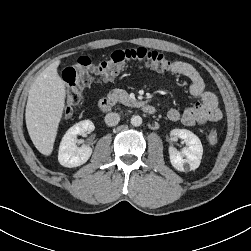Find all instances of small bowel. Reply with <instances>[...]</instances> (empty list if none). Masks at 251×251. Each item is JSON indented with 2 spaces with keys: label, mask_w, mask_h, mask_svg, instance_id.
I'll list each match as a JSON object with an SVG mask.
<instances>
[{
  "label": "small bowel",
  "mask_w": 251,
  "mask_h": 251,
  "mask_svg": "<svg viewBox=\"0 0 251 251\" xmlns=\"http://www.w3.org/2000/svg\"><path fill=\"white\" fill-rule=\"evenodd\" d=\"M171 71L189 79L190 95L200 100L182 112L175 108L170 109L167 112V118L172 122L179 121L186 126H202L218 121L221 118V112L218 108L217 96L205 90V83L199 72L191 64L183 61L175 62Z\"/></svg>",
  "instance_id": "1"
}]
</instances>
